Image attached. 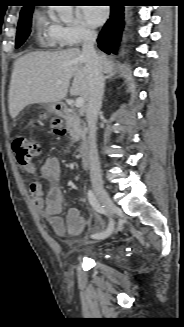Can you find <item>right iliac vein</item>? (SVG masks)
I'll return each instance as SVG.
<instances>
[{
  "mask_svg": "<svg viewBox=\"0 0 184 327\" xmlns=\"http://www.w3.org/2000/svg\"><path fill=\"white\" fill-rule=\"evenodd\" d=\"M93 188H94V191H95L98 199L105 207L107 214L111 217L116 209V206L114 205L113 201L111 200L106 189L104 188L102 183L99 181H96L93 183Z\"/></svg>",
  "mask_w": 184,
  "mask_h": 327,
  "instance_id": "1",
  "label": "right iliac vein"
}]
</instances>
